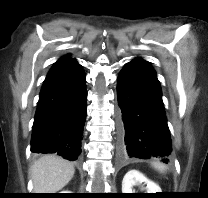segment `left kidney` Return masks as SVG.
<instances>
[{
  "label": "left kidney",
  "mask_w": 208,
  "mask_h": 198,
  "mask_svg": "<svg viewBox=\"0 0 208 198\" xmlns=\"http://www.w3.org/2000/svg\"><path fill=\"white\" fill-rule=\"evenodd\" d=\"M141 183L147 185L145 188L146 193L161 192V188L156 183L145 177L142 173L137 170H130L123 178L122 193H135V191H133V186Z\"/></svg>",
  "instance_id": "5707ae66"
}]
</instances>
